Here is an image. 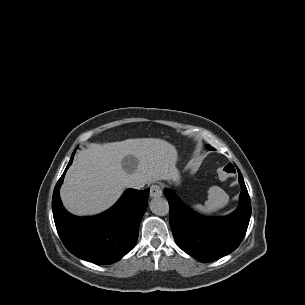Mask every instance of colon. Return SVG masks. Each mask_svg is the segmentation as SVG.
Segmentation results:
<instances>
[{"instance_id":"colon-1","label":"colon","mask_w":305,"mask_h":305,"mask_svg":"<svg viewBox=\"0 0 305 305\" xmlns=\"http://www.w3.org/2000/svg\"><path fill=\"white\" fill-rule=\"evenodd\" d=\"M218 178L221 181H226L232 177V171L229 169V166H224L217 171Z\"/></svg>"}]
</instances>
